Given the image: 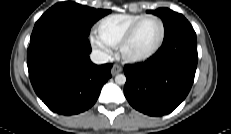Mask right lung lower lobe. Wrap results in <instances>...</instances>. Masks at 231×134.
Wrapping results in <instances>:
<instances>
[{
    "mask_svg": "<svg viewBox=\"0 0 231 134\" xmlns=\"http://www.w3.org/2000/svg\"><path fill=\"white\" fill-rule=\"evenodd\" d=\"M89 42L83 34L64 26H48L31 35L27 65L31 84L46 106L72 115L92 107L111 64L90 61Z\"/></svg>",
    "mask_w": 231,
    "mask_h": 134,
    "instance_id": "right-lung-lower-lobe-1",
    "label": "right lung lower lobe"
}]
</instances>
